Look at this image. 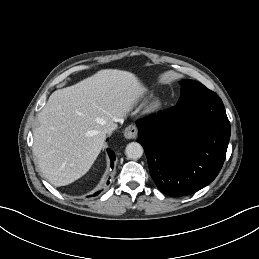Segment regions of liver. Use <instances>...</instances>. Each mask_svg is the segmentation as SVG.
Instances as JSON below:
<instances>
[{"instance_id":"6515ba94","label":"liver","mask_w":259,"mask_h":259,"mask_svg":"<svg viewBox=\"0 0 259 259\" xmlns=\"http://www.w3.org/2000/svg\"><path fill=\"white\" fill-rule=\"evenodd\" d=\"M144 92L133 73L117 69L54 91L33 133V152L46 179L58 187L85 175L103 148V129L121 121Z\"/></svg>"}]
</instances>
